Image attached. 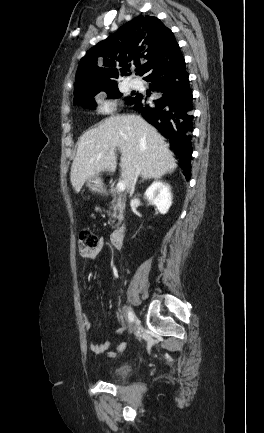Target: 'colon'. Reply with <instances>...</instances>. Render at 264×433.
Returning a JSON list of instances; mask_svg holds the SVG:
<instances>
[{
    "mask_svg": "<svg viewBox=\"0 0 264 433\" xmlns=\"http://www.w3.org/2000/svg\"><path fill=\"white\" fill-rule=\"evenodd\" d=\"M98 237L90 230L84 229L78 236V250L85 253L94 249L98 243Z\"/></svg>",
    "mask_w": 264,
    "mask_h": 433,
    "instance_id": "colon-1",
    "label": "colon"
}]
</instances>
